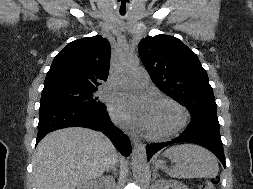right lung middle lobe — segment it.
<instances>
[{"instance_id": "right-lung-middle-lobe-1", "label": "right lung middle lobe", "mask_w": 253, "mask_h": 189, "mask_svg": "<svg viewBox=\"0 0 253 189\" xmlns=\"http://www.w3.org/2000/svg\"><path fill=\"white\" fill-rule=\"evenodd\" d=\"M97 87H56L43 89L40 104H67L96 110H105L106 105L95 96Z\"/></svg>"}]
</instances>
